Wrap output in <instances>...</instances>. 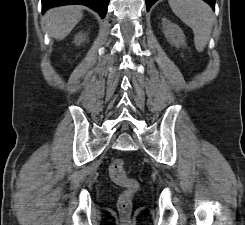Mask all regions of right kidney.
Segmentation results:
<instances>
[{"instance_id": "1", "label": "right kidney", "mask_w": 245, "mask_h": 225, "mask_svg": "<svg viewBox=\"0 0 245 225\" xmlns=\"http://www.w3.org/2000/svg\"><path fill=\"white\" fill-rule=\"evenodd\" d=\"M83 41H85V36L83 34H78L76 37H75V43H77L78 45L80 43H82Z\"/></svg>"}]
</instances>
